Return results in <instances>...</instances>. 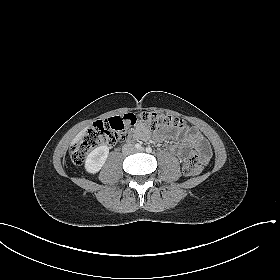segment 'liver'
Segmentation results:
<instances>
[{
  "instance_id": "6515ba94",
  "label": "liver",
  "mask_w": 280,
  "mask_h": 280,
  "mask_svg": "<svg viewBox=\"0 0 280 280\" xmlns=\"http://www.w3.org/2000/svg\"><path fill=\"white\" fill-rule=\"evenodd\" d=\"M86 133V129L82 130L73 140V143L78 142Z\"/></svg>"
}]
</instances>
